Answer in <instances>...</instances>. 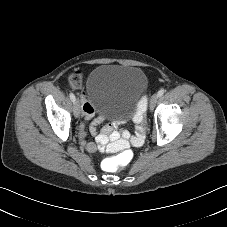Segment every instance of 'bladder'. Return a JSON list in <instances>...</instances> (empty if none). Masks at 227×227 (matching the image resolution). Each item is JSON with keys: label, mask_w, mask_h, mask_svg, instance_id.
<instances>
[{"label": "bladder", "mask_w": 227, "mask_h": 227, "mask_svg": "<svg viewBox=\"0 0 227 227\" xmlns=\"http://www.w3.org/2000/svg\"><path fill=\"white\" fill-rule=\"evenodd\" d=\"M146 84L139 68L106 63L97 66L88 78L85 96L106 119L129 120L140 106Z\"/></svg>", "instance_id": "31cf9c89"}]
</instances>
